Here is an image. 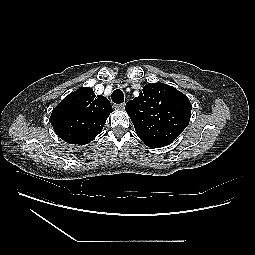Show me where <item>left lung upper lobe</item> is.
Here are the masks:
<instances>
[{
    "label": "left lung upper lobe",
    "instance_id": "obj_1",
    "mask_svg": "<svg viewBox=\"0 0 255 255\" xmlns=\"http://www.w3.org/2000/svg\"><path fill=\"white\" fill-rule=\"evenodd\" d=\"M191 108L186 95L159 82L146 84L125 107L136 134L147 146L173 142L189 124Z\"/></svg>",
    "mask_w": 255,
    "mask_h": 255
}]
</instances>
